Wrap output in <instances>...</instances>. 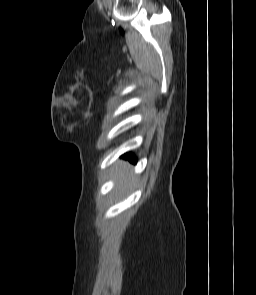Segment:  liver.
<instances>
[{
    "label": "liver",
    "instance_id": "1",
    "mask_svg": "<svg viewBox=\"0 0 256 295\" xmlns=\"http://www.w3.org/2000/svg\"><path fill=\"white\" fill-rule=\"evenodd\" d=\"M128 169L129 168L126 166V163L122 161H119L114 166L115 177H117L119 180V183H118L119 189L130 187V185L133 182V178L128 176Z\"/></svg>",
    "mask_w": 256,
    "mask_h": 295
}]
</instances>
